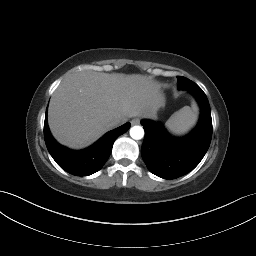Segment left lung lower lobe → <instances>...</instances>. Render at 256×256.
<instances>
[{
  "label": "left lung lower lobe",
  "instance_id": "obj_1",
  "mask_svg": "<svg viewBox=\"0 0 256 256\" xmlns=\"http://www.w3.org/2000/svg\"><path fill=\"white\" fill-rule=\"evenodd\" d=\"M196 98L201 115L197 127L186 137L176 138L156 122L142 120L145 137L141 148L148 169L164 179H175L193 170L206 154L212 137V118L203 90L189 81L186 87Z\"/></svg>",
  "mask_w": 256,
  "mask_h": 256
}]
</instances>
